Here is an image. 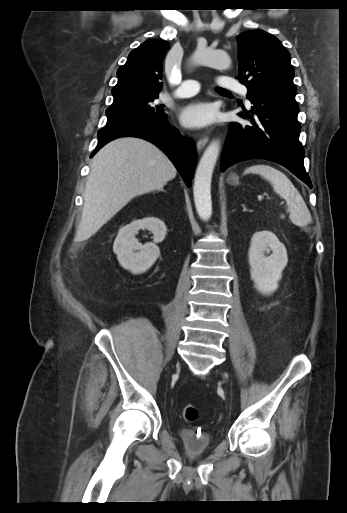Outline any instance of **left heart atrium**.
<instances>
[{
  "instance_id": "39dd6f15",
  "label": "left heart atrium",
  "mask_w": 347,
  "mask_h": 513,
  "mask_svg": "<svg viewBox=\"0 0 347 513\" xmlns=\"http://www.w3.org/2000/svg\"><path fill=\"white\" fill-rule=\"evenodd\" d=\"M215 117L211 104L197 101L185 106L180 113V121L187 128H201L210 124Z\"/></svg>"
}]
</instances>
